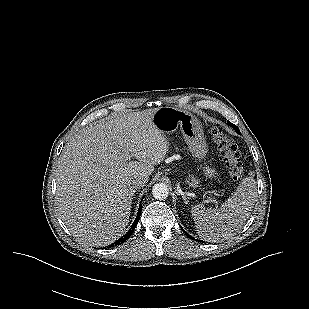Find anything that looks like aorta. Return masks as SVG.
<instances>
[{
    "label": "aorta",
    "mask_w": 309,
    "mask_h": 309,
    "mask_svg": "<svg viewBox=\"0 0 309 309\" xmlns=\"http://www.w3.org/2000/svg\"><path fill=\"white\" fill-rule=\"evenodd\" d=\"M152 194L155 199L164 200L169 194L168 186L164 183H157L152 188Z\"/></svg>",
    "instance_id": "762f6f07"
}]
</instances>
